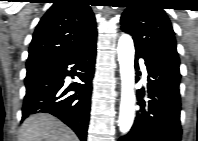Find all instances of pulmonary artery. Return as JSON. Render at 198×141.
<instances>
[{
	"mask_svg": "<svg viewBox=\"0 0 198 141\" xmlns=\"http://www.w3.org/2000/svg\"><path fill=\"white\" fill-rule=\"evenodd\" d=\"M141 63L143 64V61H141ZM143 71H144V74L146 75V70L144 67H143Z\"/></svg>",
	"mask_w": 198,
	"mask_h": 141,
	"instance_id": "pulmonary-artery-1",
	"label": "pulmonary artery"
}]
</instances>
